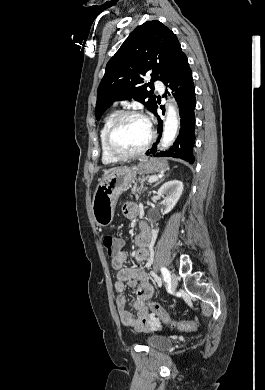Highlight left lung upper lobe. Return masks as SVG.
I'll use <instances>...</instances> for the list:
<instances>
[{
	"mask_svg": "<svg viewBox=\"0 0 265 390\" xmlns=\"http://www.w3.org/2000/svg\"><path fill=\"white\" fill-rule=\"evenodd\" d=\"M181 53L176 35L161 22L147 21L138 26L106 65L97 90L96 119L114 101L132 98L153 112L156 96L147 90L150 83L142 85V76L150 71L151 82H163Z\"/></svg>",
	"mask_w": 265,
	"mask_h": 390,
	"instance_id": "left-lung-upper-lobe-1",
	"label": "left lung upper lobe"
}]
</instances>
